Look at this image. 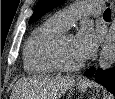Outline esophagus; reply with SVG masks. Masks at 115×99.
<instances>
[{
  "mask_svg": "<svg viewBox=\"0 0 115 99\" xmlns=\"http://www.w3.org/2000/svg\"><path fill=\"white\" fill-rule=\"evenodd\" d=\"M111 5H113V4L111 3ZM112 9H113V6H112ZM81 82H82V83H85L86 81L82 80Z\"/></svg>",
  "mask_w": 115,
  "mask_h": 99,
  "instance_id": "esophagus-1",
  "label": "esophagus"
}]
</instances>
